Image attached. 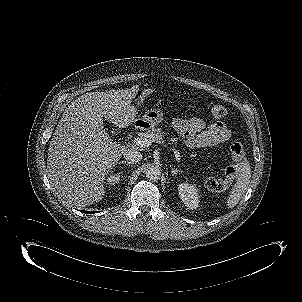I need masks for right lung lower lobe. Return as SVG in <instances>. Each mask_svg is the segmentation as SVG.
<instances>
[{"instance_id":"98d812e1","label":"right lung lower lobe","mask_w":302,"mask_h":302,"mask_svg":"<svg viewBox=\"0 0 302 302\" xmlns=\"http://www.w3.org/2000/svg\"><path fill=\"white\" fill-rule=\"evenodd\" d=\"M84 213H88V214H92V213H95V212H88V211H83Z\"/></svg>"}]
</instances>
